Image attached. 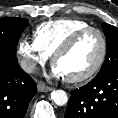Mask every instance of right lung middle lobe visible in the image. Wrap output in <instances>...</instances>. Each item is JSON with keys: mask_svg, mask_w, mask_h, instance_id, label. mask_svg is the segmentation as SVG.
Returning a JSON list of instances; mask_svg holds the SVG:
<instances>
[{"mask_svg": "<svg viewBox=\"0 0 118 118\" xmlns=\"http://www.w3.org/2000/svg\"><path fill=\"white\" fill-rule=\"evenodd\" d=\"M27 26L28 20L23 18H0V56L16 57V45Z\"/></svg>", "mask_w": 118, "mask_h": 118, "instance_id": "dd1d6c3e", "label": "right lung middle lobe"}]
</instances>
